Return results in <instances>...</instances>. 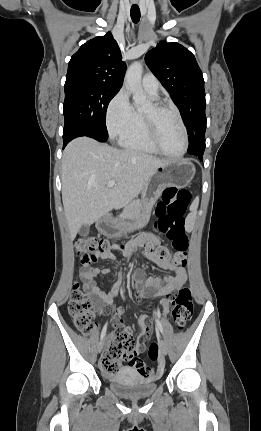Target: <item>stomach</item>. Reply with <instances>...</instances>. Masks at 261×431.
<instances>
[{"instance_id":"0dacf381","label":"stomach","mask_w":261,"mask_h":431,"mask_svg":"<svg viewBox=\"0 0 261 431\" xmlns=\"http://www.w3.org/2000/svg\"><path fill=\"white\" fill-rule=\"evenodd\" d=\"M195 175V166L187 159L171 160L159 167L142 192V213L134 222L122 220H103L98 225V230L109 237H116L124 232L144 227L149 220L150 211L162 191L167 187H186Z\"/></svg>"}]
</instances>
